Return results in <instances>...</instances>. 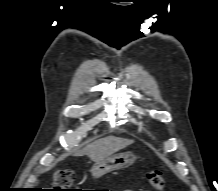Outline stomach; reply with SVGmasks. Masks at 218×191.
I'll return each instance as SVG.
<instances>
[{"label": "stomach", "mask_w": 218, "mask_h": 191, "mask_svg": "<svg viewBox=\"0 0 218 191\" xmlns=\"http://www.w3.org/2000/svg\"><path fill=\"white\" fill-rule=\"evenodd\" d=\"M135 160L136 156L130 152L111 155L100 162H95L91 172L93 177L99 178L109 172L127 168L131 166Z\"/></svg>", "instance_id": "0dacf381"}]
</instances>
